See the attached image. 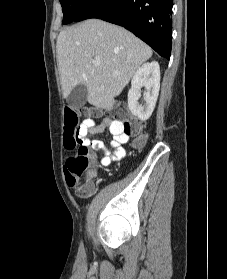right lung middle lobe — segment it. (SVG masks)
<instances>
[{
  "label": "right lung middle lobe",
  "mask_w": 227,
  "mask_h": 279,
  "mask_svg": "<svg viewBox=\"0 0 227 279\" xmlns=\"http://www.w3.org/2000/svg\"><path fill=\"white\" fill-rule=\"evenodd\" d=\"M88 0H60L63 11V23L68 24L76 18Z\"/></svg>",
  "instance_id": "obj_1"
}]
</instances>
